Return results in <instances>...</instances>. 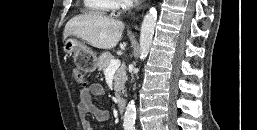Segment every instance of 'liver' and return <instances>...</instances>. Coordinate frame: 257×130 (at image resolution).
<instances>
[{"label": "liver", "mask_w": 257, "mask_h": 130, "mask_svg": "<svg viewBox=\"0 0 257 130\" xmlns=\"http://www.w3.org/2000/svg\"><path fill=\"white\" fill-rule=\"evenodd\" d=\"M125 28L123 22L95 13L70 19L63 32L64 40L76 36L99 49H112L118 44Z\"/></svg>", "instance_id": "1"}]
</instances>
